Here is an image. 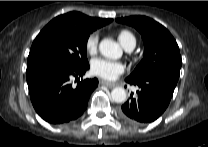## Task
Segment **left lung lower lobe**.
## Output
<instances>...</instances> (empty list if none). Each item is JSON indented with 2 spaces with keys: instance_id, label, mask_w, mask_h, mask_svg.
Segmentation results:
<instances>
[{
  "instance_id": "obj_1",
  "label": "left lung lower lobe",
  "mask_w": 208,
  "mask_h": 147,
  "mask_svg": "<svg viewBox=\"0 0 208 147\" xmlns=\"http://www.w3.org/2000/svg\"><path fill=\"white\" fill-rule=\"evenodd\" d=\"M125 81L138 85L140 90L122 105L119 116L126 122L140 125L153 122L162 115L178 80L163 74H153L140 79L126 78Z\"/></svg>"
}]
</instances>
